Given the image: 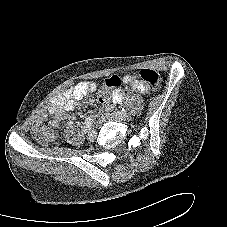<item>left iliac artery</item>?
I'll return each instance as SVG.
<instances>
[{"mask_svg": "<svg viewBox=\"0 0 227 227\" xmlns=\"http://www.w3.org/2000/svg\"><path fill=\"white\" fill-rule=\"evenodd\" d=\"M116 113L127 114V111H126L124 108H122V111H118V112H116Z\"/></svg>", "mask_w": 227, "mask_h": 227, "instance_id": "obj_1", "label": "left iliac artery"}]
</instances>
